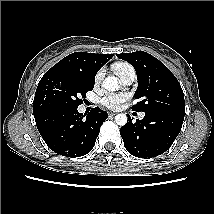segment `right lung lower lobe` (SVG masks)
Returning <instances> with one entry per match:
<instances>
[{"label": "right lung lower lobe", "instance_id": "1", "mask_svg": "<svg viewBox=\"0 0 214 214\" xmlns=\"http://www.w3.org/2000/svg\"><path fill=\"white\" fill-rule=\"evenodd\" d=\"M78 107L54 108L34 115L39 133L47 146L57 154L79 157L89 153L107 112L95 107L87 115L77 111Z\"/></svg>", "mask_w": 214, "mask_h": 214}]
</instances>
